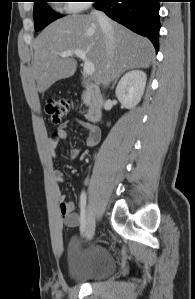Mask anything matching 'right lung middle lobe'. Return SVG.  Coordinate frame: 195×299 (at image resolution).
<instances>
[{"mask_svg": "<svg viewBox=\"0 0 195 299\" xmlns=\"http://www.w3.org/2000/svg\"><path fill=\"white\" fill-rule=\"evenodd\" d=\"M34 1V26L35 30L39 31L46 25L53 22L61 15L54 13L46 4L47 0H33Z\"/></svg>", "mask_w": 195, "mask_h": 299, "instance_id": "obj_1", "label": "right lung middle lobe"}]
</instances>
